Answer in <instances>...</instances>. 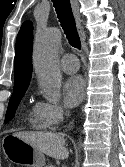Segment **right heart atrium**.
<instances>
[{
  "label": "right heart atrium",
  "instance_id": "obj_1",
  "mask_svg": "<svg viewBox=\"0 0 125 167\" xmlns=\"http://www.w3.org/2000/svg\"><path fill=\"white\" fill-rule=\"evenodd\" d=\"M36 106L40 117L50 128L59 126L66 118L67 111L59 103L38 102Z\"/></svg>",
  "mask_w": 125,
  "mask_h": 167
}]
</instances>
